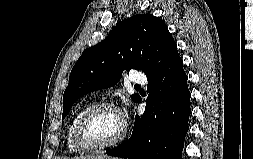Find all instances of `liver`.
<instances>
[{
	"label": "liver",
	"instance_id": "liver-1",
	"mask_svg": "<svg viewBox=\"0 0 253 159\" xmlns=\"http://www.w3.org/2000/svg\"><path fill=\"white\" fill-rule=\"evenodd\" d=\"M107 155H86V156H80L76 157L74 159H102V158H108Z\"/></svg>",
	"mask_w": 253,
	"mask_h": 159
}]
</instances>
